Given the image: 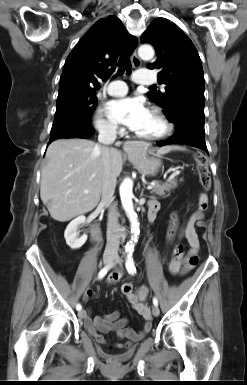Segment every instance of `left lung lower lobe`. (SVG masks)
Listing matches in <instances>:
<instances>
[{"label":"left lung lower lobe","mask_w":247,"mask_h":385,"mask_svg":"<svg viewBox=\"0 0 247 385\" xmlns=\"http://www.w3.org/2000/svg\"><path fill=\"white\" fill-rule=\"evenodd\" d=\"M171 122L176 126L175 134L167 140L158 142V146L185 144L207 150L204 135V113L180 111Z\"/></svg>","instance_id":"obj_1"}]
</instances>
